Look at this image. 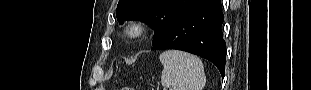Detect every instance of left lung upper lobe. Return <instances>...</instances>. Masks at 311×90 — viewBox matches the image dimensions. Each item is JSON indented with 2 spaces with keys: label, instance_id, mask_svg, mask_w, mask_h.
<instances>
[{
  "label": "left lung upper lobe",
  "instance_id": "left-lung-upper-lobe-1",
  "mask_svg": "<svg viewBox=\"0 0 311 90\" xmlns=\"http://www.w3.org/2000/svg\"><path fill=\"white\" fill-rule=\"evenodd\" d=\"M200 0H119L116 9L120 24L125 20L149 23L155 30L153 46L170 29L174 21Z\"/></svg>",
  "mask_w": 311,
  "mask_h": 90
}]
</instances>
